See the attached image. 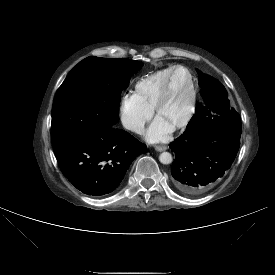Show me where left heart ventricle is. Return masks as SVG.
<instances>
[{"mask_svg": "<svg viewBox=\"0 0 275 275\" xmlns=\"http://www.w3.org/2000/svg\"><path fill=\"white\" fill-rule=\"evenodd\" d=\"M190 101V83L184 70H177L172 79L169 96L158 116L173 127L179 123L188 111Z\"/></svg>", "mask_w": 275, "mask_h": 275, "instance_id": "left-heart-ventricle-1", "label": "left heart ventricle"}]
</instances>
